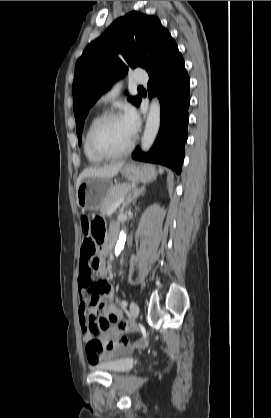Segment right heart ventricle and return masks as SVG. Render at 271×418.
<instances>
[{
    "label": "right heart ventricle",
    "mask_w": 271,
    "mask_h": 418,
    "mask_svg": "<svg viewBox=\"0 0 271 418\" xmlns=\"http://www.w3.org/2000/svg\"><path fill=\"white\" fill-rule=\"evenodd\" d=\"M96 117H94L90 122H89V124L87 125V128H86V130H85V133H84V138H83V151H84V154H85V156H86V158H87V160L90 162V163H93V164H98V163H101L104 159H102V158H100V157H98V156H96L91 150H90V148H89V145H88V134H89V131H90V129H91V127H92V125H93V123L96 121Z\"/></svg>",
    "instance_id": "1"
}]
</instances>
